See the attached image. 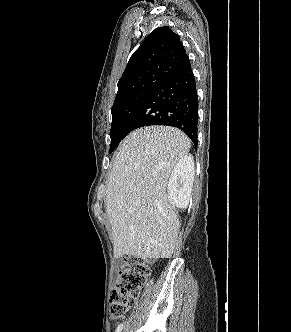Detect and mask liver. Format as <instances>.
<instances>
[{
    "mask_svg": "<svg viewBox=\"0 0 291 332\" xmlns=\"http://www.w3.org/2000/svg\"><path fill=\"white\" fill-rule=\"evenodd\" d=\"M190 147L185 133L168 126L139 128L121 142L106 191L115 257L172 256L180 223L166 188Z\"/></svg>",
    "mask_w": 291,
    "mask_h": 332,
    "instance_id": "liver-1",
    "label": "liver"
}]
</instances>
